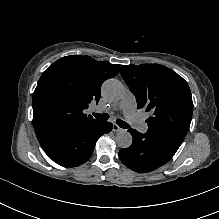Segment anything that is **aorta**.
<instances>
[{
    "label": "aorta",
    "instance_id": "762f6f07",
    "mask_svg": "<svg viewBox=\"0 0 219 219\" xmlns=\"http://www.w3.org/2000/svg\"><path fill=\"white\" fill-rule=\"evenodd\" d=\"M102 93L110 100L120 99L124 93V85L114 78L106 80L102 85ZM115 141L120 148H128L132 144V136L127 131H120Z\"/></svg>",
    "mask_w": 219,
    "mask_h": 219
}]
</instances>
